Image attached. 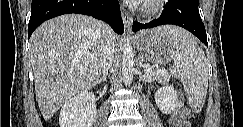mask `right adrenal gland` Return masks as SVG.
I'll list each match as a JSON object with an SVG mask.
<instances>
[{"label": "right adrenal gland", "mask_w": 243, "mask_h": 127, "mask_svg": "<svg viewBox=\"0 0 243 127\" xmlns=\"http://www.w3.org/2000/svg\"><path fill=\"white\" fill-rule=\"evenodd\" d=\"M106 80V75H103L102 77H100L99 79H98V84H100L101 82H104Z\"/></svg>", "instance_id": "obj_1"}]
</instances>
